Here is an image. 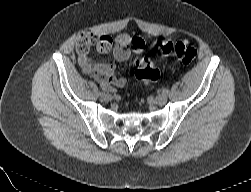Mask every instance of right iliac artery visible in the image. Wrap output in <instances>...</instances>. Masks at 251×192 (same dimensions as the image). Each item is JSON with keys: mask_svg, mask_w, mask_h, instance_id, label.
Instances as JSON below:
<instances>
[{"mask_svg": "<svg viewBox=\"0 0 251 192\" xmlns=\"http://www.w3.org/2000/svg\"><path fill=\"white\" fill-rule=\"evenodd\" d=\"M104 94H105V92H104V91H101V92L99 93V95H100L101 97H103V96H104Z\"/></svg>", "mask_w": 251, "mask_h": 192, "instance_id": "right-iliac-artery-1", "label": "right iliac artery"}]
</instances>
